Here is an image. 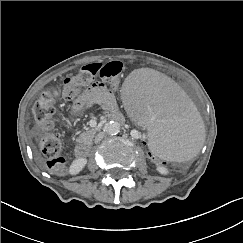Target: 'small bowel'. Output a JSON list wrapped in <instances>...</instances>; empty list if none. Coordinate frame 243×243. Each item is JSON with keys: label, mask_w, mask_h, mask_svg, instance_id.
Instances as JSON below:
<instances>
[{"label": "small bowel", "mask_w": 243, "mask_h": 243, "mask_svg": "<svg viewBox=\"0 0 243 243\" xmlns=\"http://www.w3.org/2000/svg\"><path fill=\"white\" fill-rule=\"evenodd\" d=\"M94 105H100L107 110L116 108L114 94L101 83H96L83 92L73 102L72 110L74 113H80Z\"/></svg>", "instance_id": "obj_1"}]
</instances>
